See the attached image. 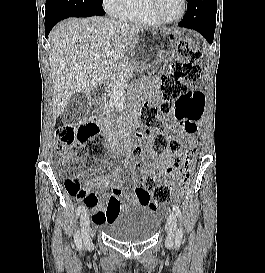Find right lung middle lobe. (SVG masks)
I'll list each match as a JSON object with an SVG mask.
<instances>
[{
    "instance_id": "1",
    "label": "right lung middle lobe",
    "mask_w": 265,
    "mask_h": 273,
    "mask_svg": "<svg viewBox=\"0 0 265 273\" xmlns=\"http://www.w3.org/2000/svg\"><path fill=\"white\" fill-rule=\"evenodd\" d=\"M103 0H46L45 21L104 15Z\"/></svg>"
}]
</instances>
